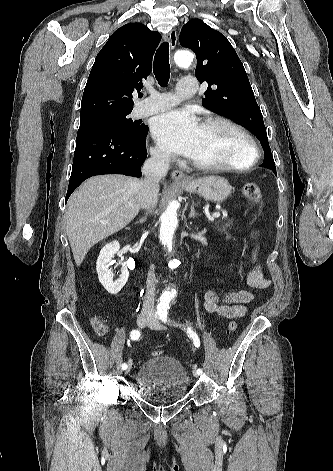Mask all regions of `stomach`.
Listing matches in <instances>:
<instances>
[{"label": "stomach", "mask_w": 333, "mask_h": 471, "mask_svg": "<svg viewBox=\"0 0 333 471\" xmlns=\"http://www.w3.org/2000/svg\"><path fill=\"white\" fill-rule=\"evenodd\" d=\"M188 193L202 196L206 200L221 203L231 194L232 187L228 180L215 175L193 179L185 184H179Z\"/></svg>", "instance_id": "1"}]
</instances>
